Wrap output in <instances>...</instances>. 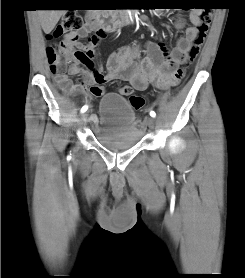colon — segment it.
<instances>
[{
    "instance_id": "1",
    "label": "colon",
    "mask_w": 245,
    "mask_h": 278,
    "mask_svg": "<svg viewBox=\"0 0 245 278\" xmlns=\"http://www.w3.org/2000/svg\"><path fill=\"white\" fill-rule=\"evenodd\" d=\"M209 8L210 7L208 5L194 7V9L199 12V16L196 26L197 38L189 51L190 61L194 60L198 52L197 43L202 40L211 22ZM82 28L83 19L80 15L76 13H66L62 16L57 27L46 33V40L48 42L47 54L50 61V70L55 77L61 78V82L63 84H69V82L63 78L68 63L85 61L87 59V52L82 49L74 48V46L64 43L63 41L57 42L56 40L63 35L79 32ZM118 93L122 96H129V102L134 109H140L144 105V98L138 95H130L131 90L128 86L120 87L118 89Z\"/></svg>"
}]
</instances>
